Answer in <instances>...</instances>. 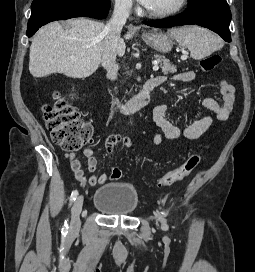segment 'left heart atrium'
<instances>
[{
  "label": "left heart atrium",
  "mask_w": 255,
  "mask_h": 272,
  "mask_svg": "<svg viewBox=\"0 0 255 272\" xmlns=\"http://www.w3.org/2000/svg\"><path fill=\"white\" fill-rule=\"evenodd\" d=\"M145 7L149 6L151 0H138Z\"/></svg>",
  "instance_id": "1"
}]
</instances>
